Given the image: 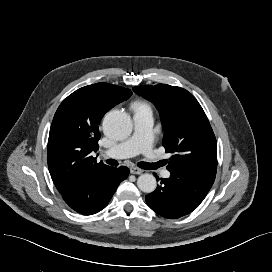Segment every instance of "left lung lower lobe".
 I'll return each mask as SVG.
<instances>
[{"label":"left lung lower lobe","mask_w":272,"mask_h":272,"mask_svg":"<svg viewBox=\"0 0 272 272\" xmlns=\"http://www.w3.org/2000/svg\"><path fill=\"white\" fill-rule=\"evenodd\" d=\"M168 179L145 199L159 215L177 219L191 213L203 201L212 187L215 176L196 171H170Z\"/></svg>","instance_id":"1"}]
</instances>
